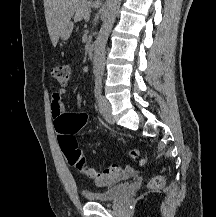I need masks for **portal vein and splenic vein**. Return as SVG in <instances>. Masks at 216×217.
<instances>
[{
    "mask_svg": "<svg viewBox=\"0 0 216 217\" xmlns=\"http://www.w3.org/2000/svg\"><path fill=\"white\" fill-rule=\"evenodd\" d=\"M89 17H90V13H89V12H86V14H85V19H86V20H89Z\"/></svg>",
    "mask_w": 216,
    "mask_h": 217,
    "instance_id": "18ae733b",
    "label": "portal vein and splenic vein"
}]
</instances>
